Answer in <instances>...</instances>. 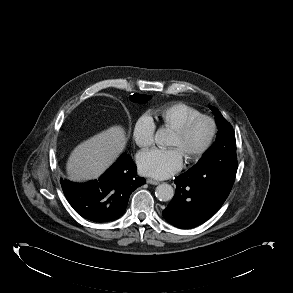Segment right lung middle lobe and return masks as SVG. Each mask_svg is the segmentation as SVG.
Segmentation results:
<instances>
[{"label": "right lung middle lobe", "instance_id": "dd1d6c3e", "mask_svg": "<svg viewBox=\"0 0 293 293\" xmlns=\"http://www.w3.org/2000/svg\"><path fill=\"white\" fill-rule=\"evenodd\" d=\"M151 96L149 95H142V94H134L130 97V100L133 102H138V103H145L147 102Z\"/></svg>", "mask_w": 293, "mask_h": 293}]
</instances>
